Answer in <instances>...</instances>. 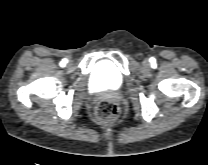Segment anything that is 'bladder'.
I'll use <instances>...</instances> for the list:
<instances>
[{"mask_svg":"<svg viewBox=\"0 0 208 165\" xmlns=\"http://www.w3.org/2000/svg\"><path fill=\"white\" fill-rule=\"evenodd\" d=\"M89 82L96 91H117L123 86L124 78L115 65L102 61L93 70Z\"/></svg>","mask_w":208,"mask_h":165,"instance_id":"31cf9c89","label":"bladder"}]
</instances>
